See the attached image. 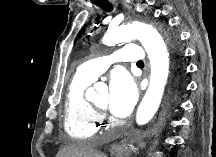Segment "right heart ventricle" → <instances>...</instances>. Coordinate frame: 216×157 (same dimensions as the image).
<instances>
[{
  "instance_id": "obj_1",
  "label": "right heart ventricle",
  "mask_w": 216,
  "mask_h": 157,
  "mask_svg": "<svg viewBox=\"0 0 216 157\" xmlns=\"http://www.w3.org/2000/svg\"><path fill=\"white\" fill-rule=\"evenodd\" d=\"M92 80L74 74L68 84L64 100L65 132L75 138H90L98 130L101 121L98 111L86 98V90Z\"/></svg>"
}]
</instances>
